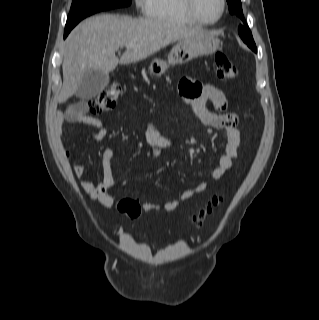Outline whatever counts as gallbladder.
Instances as JSON below:
<instances>
[{"label": "gallbladder", "instance_id": "gallbladder-1", "mask_svg": "<svg viewBox=\"0 0 319 320\" xmlns=\"http://www.w3.org/2000/svg\"><path fill=\"white\" fill-rule=\"evenodd\" d=\"M109 83V75L99 70L87 72L80 82L75 95L82 99H92L100 94Z\"/></svg>", "mask_w": 319, "mask_h": 320}]
</instances>
